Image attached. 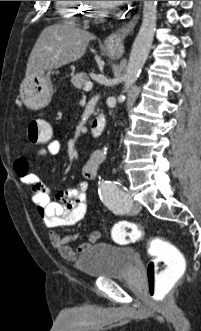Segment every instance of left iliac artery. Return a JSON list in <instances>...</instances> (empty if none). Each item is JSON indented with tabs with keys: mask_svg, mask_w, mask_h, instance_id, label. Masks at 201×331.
I'll list each match as a JSON object with an SVG mask.
<instances>
[{
	"mask_svg": "<svg viewBox=\"0 0 201 331\" xmlns=\"http://www.w3.org/2000/svg\"><path fill=\"white\" fill-rule=\"evenodd\" d=\"M99 195L103 203L115 214H124L131 209L132 200L126 189L115 181L99 182Z\"/></svg>",
	"mask_w": 201,
	"mask_h": 331,
	"instance_id": "obj_1",
	"label": "left iliac artery"
}]
</instances>
